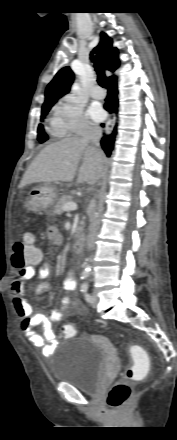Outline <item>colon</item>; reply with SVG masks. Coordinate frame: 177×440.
<instances>
[{
  "label": "colon",
  "instance_id": "colon-1",
  "mask_svg": "<svg viewBox=\"0 0 177 440\" xmlns=\"http://www.w3.org/2000/svg\"><path fill=\"white\" fill-rule=\"evenodd\" d=\"M32 242L33 236L29 233L21 235L15 241L12 255L14 268L24 270L39 259L40 251L33 246ZM60 334L64 338L73 337L75 335L74 326L69 323L63 325ZM129 350L134 364L126 369L123 380L117 382L108 395V404L114 409L121 408L131 396V381L142 378L149 370V358L145 350L135 345H130Z\"/></svg>",
  "mask_w": 177,
  "mask_h": 440
}]
</instances>
